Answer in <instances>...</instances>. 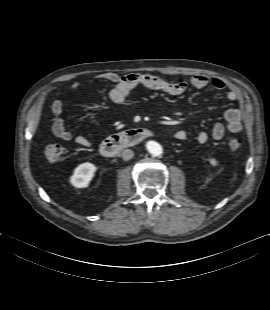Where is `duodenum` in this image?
I'll use <instances>...</instances> for the list:
<instances>
[{
  "instance_id": "obj_1",
  "label": "duodenum",
  "mask_w": 270,
  "mask_h": 310,
  "mask_svg": "<svg viewBox=\"0 0 270 310\" xmlns=\"http://www.w3.org/2000/svg\"><path fill=\"white\" fill-rule=\"evenodd\" d=\"M152 131L146 128H134L112 135L100 144V153L104 157H112L125 148L133 147L150 137Z\"/></svg>"
}]
</instances>
